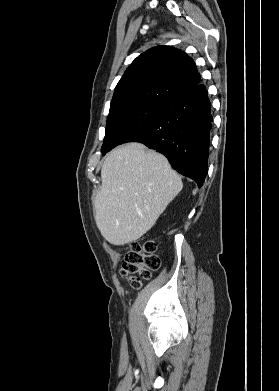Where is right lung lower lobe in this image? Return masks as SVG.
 Masks as SVG:
<instances>
[{
    "mask_svg": "<svg viewBox=\"0 0 279 391\" xmlns=\"http://www.w3.org/2000/svg\"><path fill=\"white\" fill-rule=\"evenodd\" d=\"M212 120L208 92L198 84L165 103L153 121L126 142H141L159 151L201 187L207 175Z\"/></svg>",
    "mask_w": 279,
    "mask_h": 391,
    "instance_id": "obj_1",
    "label": "right lung lower lobe"
}]
</instances>
